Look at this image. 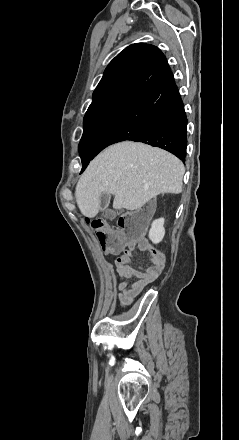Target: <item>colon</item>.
I'll return each instance as SVG.
<instances>
[{"label": "colon", "mask_w": 239, "mask_h": 440, "mask_svg": "<svg viewBox=\"0 0 239 440\" xmlns=\"http://www.w3.org/2000/svg\"><path fill=\"white\" fill-rule=\"evenodd\" d=\"M105 253H120L130 244L141 241L142 221L132 213L123 214L119 219V229L107 226L101 218L88 221Z\"/></svg>", "instance_id": "colon-1"}]
</instances>
